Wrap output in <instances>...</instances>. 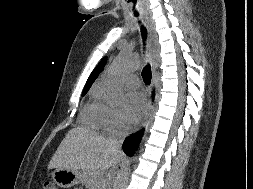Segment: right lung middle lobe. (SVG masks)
<instances>
[{"mask_svg": "<svg viewBox=\"0 0 253 189\" xmlns=\"http://www.w3.org/2000/svg\"><path fill=\"white\" fill-rule=\"evenodd\" d=\"M87 92L88 90H83L82 96H84Z\"/></svg>", "mask_w": 253, "mask_h": 189, "instance_id": "1", "label": "right lung middle lobe"}]
</instances>
